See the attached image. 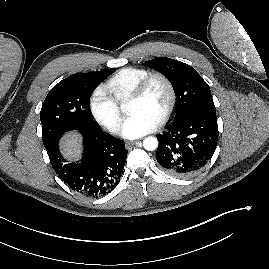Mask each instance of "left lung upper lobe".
<instances>
[{
  "label": "left lung upper lobe",
  "mask_w": 269,
  "mask_h": 269,
  "mask_svg": "<svg viewBox=\"0 0 269 269\" xmlns=\"http://www.w3.org/2000/svg\"><path fill=\"white\" fill-rule=\"evenodd\" d=\"M144 64L170 80L177 97L173 122L197 112H216L209 86L193 67L166 57L152 59Z\"/></svg>",
  "instance_id": "obj_1"
}]
</instances>
